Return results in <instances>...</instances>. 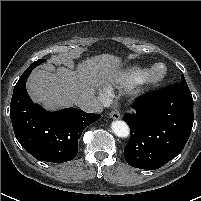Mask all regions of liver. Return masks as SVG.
<instances>
[{
	"instance_id": "obj_1",
	"label": "liver",
	"mask_w": 201,
	"mask_h": 201,
	"mask_svg": "<svg viewBox=\"0 0 201 201\" xmlns=\"http://www.w3.org/2000/svg\"><path fill=\"white\" fill-rule=\"evenodd\" d=\"M120 62L117 56L101 54L79 63L76 71L49 65L31 74L27 90L45 109L71 106L81 95H93L95 87L116 78Z\"/></svg>"
}]
</instances>
